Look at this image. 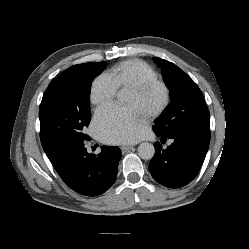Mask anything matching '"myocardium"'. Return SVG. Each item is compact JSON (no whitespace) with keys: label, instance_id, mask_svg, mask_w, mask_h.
<instances>
[{"label":"myocardium","instance_id":"myocardium-1","mask_svg":"<svg viewBox=\"0 0 249 249\" xmlns=\"http://www.w3.org/2000/svg\"><path fill=\"white\" fill-rule=\"evenodd\" d=\"M155 86H158L162 89L163 99H162L161 104L154 111H152L150 114H148L145 117L148 120H152V119L157 118L168 107V105L170 103V99H171V92H170V88H169L168 84L165 81L156 78V79H150V80L143 81V82L130 88V90L132 92H134L135 94L143 95L149 89H151Z\"/></svg>","mask_w":249,"mask_h":249}]
</instances>
